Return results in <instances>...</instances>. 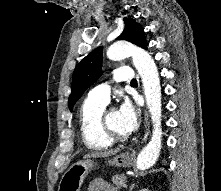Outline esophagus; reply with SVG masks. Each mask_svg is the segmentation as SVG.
Listing matches in <instances>:
<instances>
[{
  "label": "esophagus",
  "mask_w": 221,
  "mask_h": 191,
  "mask_svg": "<svg viewBox=\"0 0 221 191\" xmlns=\"http://www.w3.org/2000/svg\"><path fill=\"white\" fill-rule=\"evenodd\" d=\"M139 83H141L140 78L138 77ZM145 134L142 139V142H145L147 140L148 134H149V118H148V113L145 111Z\"/></svg>",
  "instance_id": "1"
}]
</instances>
